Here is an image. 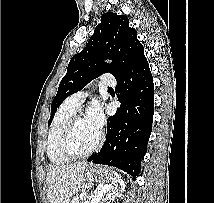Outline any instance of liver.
<instances>
[{"label": "liver", "mask_w": 214, "mask_h": 203, "mask_svg": "<svg viewBox=\"0 0 214 203\" xmlns=\"http://www.w3.org/2000/svg\"><path fill=\"white\" fill-rule=\"evenodd\" d=\"M87 166L86 162L51 166L46 178L49 202L70 203L83 184Z\"/></svg>", "instance_id": "liver-1"}]
</instances>
